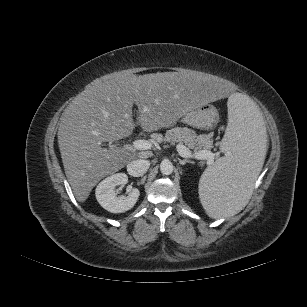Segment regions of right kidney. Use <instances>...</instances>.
<instances>
[{"label":"right kidney","mask_w":307,"mask_h":307,"mask_svg":"<svg viewBox=\"0 0 307 307\" xmlns=\"http://www.w3.org/2000/svg\"><path fill=\"white\" fill-rule=\"evenodd\" d=\"M128 176L124 173L113 174L101 181L95 191L99 204L111 213H123L130 210L137 202L140 192L133 188L128 196H117L116 186H124Z\"/></svg>","instance_id":"obj_1"}]
</instances>
